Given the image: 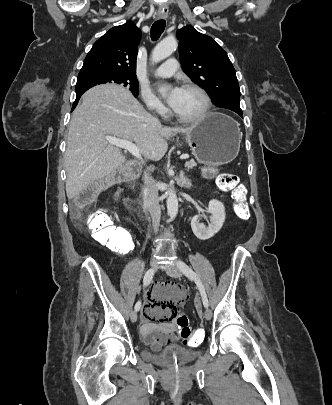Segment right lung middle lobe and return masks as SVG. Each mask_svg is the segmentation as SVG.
Segmentation results:
<instances>
[{
    "mask_svg": "<svg viewBox=\"0 0 332 405\" xmlns=\"http://www.w3.org/2000/svg\"><path fill=\"white\" fill-rule=\"evenodd\" d=\"M104 83L121 84L127 87L135 97L138 96L139 86L136 76L105 70L79 73L76 83V93L84 92L95 85Z\"/></svg>",
    "mask_w": 332,
    "mask_h": 405,
    "instance_id": "obj_1",
    "label": "right lung middle lobe"
}]
</instances>
